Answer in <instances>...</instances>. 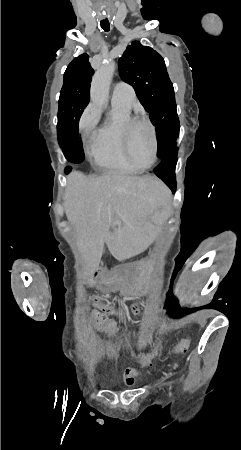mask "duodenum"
<instances>
[{
    "instance_id": "obj_1",
    "label": "duodenum",
    "mask_w": 241,
    "mask_h": 450,
    "mask_svg": "<svg viewBox=\"0 0 241 450\" xmlns=\"http://www.w3.org/2000/svg\"><path fill=\"white\" fill-rule=\"evenodd\" d=\"M103 278V272L101 270H96L93 274V281L99 282Z\"/></svg>"
}]
</instances>
